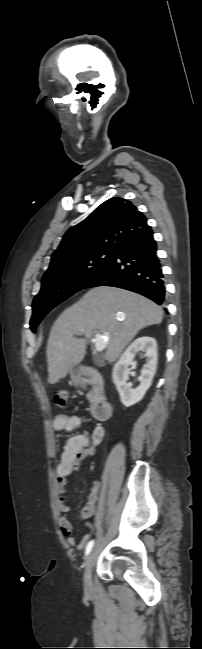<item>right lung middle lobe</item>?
Masks as SVG:
<instances>
[{
  "label": "right lung middle lobe",
  "instance_id": "right-lung-middle-lobe-1",
  "mask_svg": "<svg viewBox=\"0 0 202 649\" xmlns=\"http://www.w3.org/2000/svg\"><path fill=\"white\" fill-rule=\"evenodd\" d=\"M114 252L92 251L65 261L42 277L39 294L33 300L30 329L36 327L56 305L83 289L92 277L112 258Z\"/></svg>",
  "mask_w": 202,
  "mask_h": 649
}]
</instances>
